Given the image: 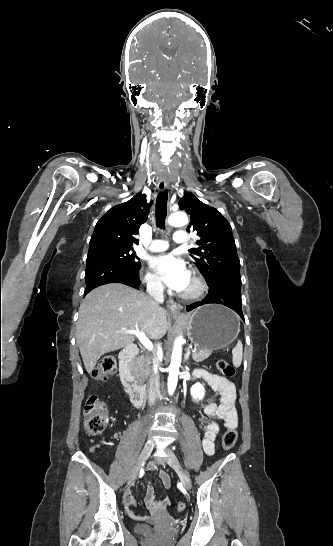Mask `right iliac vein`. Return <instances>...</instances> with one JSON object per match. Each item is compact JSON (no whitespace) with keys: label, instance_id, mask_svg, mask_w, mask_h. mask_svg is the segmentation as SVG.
Returning a JSON list of instances; mask_svg holds the SVG:
<instances>
[{"label":"right iliac vein","instance_id":"obj_1","mask_svg":"<svg viewBox=\"0 0 333 546\" xmlns=\"http://www.w3.org/2000/svg\"><path fill=\"white\" fill-rule=\"evenodd\" d=\"M153 448H154L153 440H148L145 443V446H144V448H143V450H142V452H141V454L139 456V459H138L136 465L134 466V468L132 469V471H131V473L129 475L128 484H131V483L134 482V480L136 479V477H137V475L139 473V470L141 468V465H142L143 461L146 460L150 456Z\"/></svg>","mask_w":333,"mask_h":546}]
</instances>
